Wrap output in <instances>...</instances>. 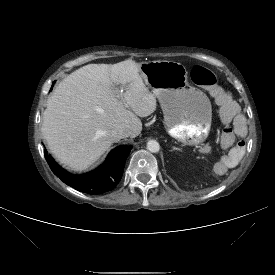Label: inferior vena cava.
I'll return each mask as SVG.
<instances>
[{
    "instance_id": "inferior-vena-cava-1",
    "label": "inferior vena cava",
    "mask_w": 275,
    "mask_h": 275,
    "mask_svg": "<svg viewBox=\"0 0 275 275\" xmlns=\"http://www.w3.org/2000/svg\"><path fill=\"white\" fill-rule=\"evenodd\" d=\"M111 135L114 141L117 142L121 138L129 137V130L125 126H119L111 131Z\"/></svg>"
}]
</instances>
